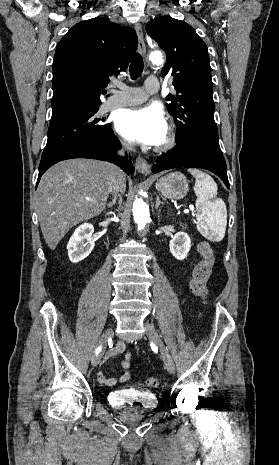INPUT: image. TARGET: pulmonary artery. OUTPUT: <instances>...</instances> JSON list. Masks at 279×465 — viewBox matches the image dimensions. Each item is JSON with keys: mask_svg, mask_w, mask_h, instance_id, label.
<instances>
[{"mask_svg": "<svg viewBox=\"0 0 279 465\" xmlns=\"http://www.w3.org/2000/svg\"><path fill=\"white\" fill-rule=\"evenodd\" d=\"M159 89L158 79L154 76L147 78L144 87H122L120 91H113L111 97L105 102L104 109L130 106L142 103L150 94H154Z\"/></svg>", "mask_w": 279, "mask_h": 465, "instance_id": "1", "label": "pulmonary artery"}]
</instances>
